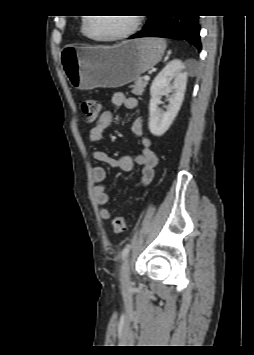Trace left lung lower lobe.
Listing matches in <instances>:
<instances>
[{"label": "left lung lower lobe", "instance_id": "obj_1", "mask_svg": "<svg viewBox=\"0 0 254 355\" xmlns=\"http://www.w3.org/2000/svg\"><path fill=\"white\" fill-rule=\"evenodd\" d=\"M141 37L183 38L201 51L200 26L197 15H149L143 30L129 39Z\"/></svg>", "mask_w": 254, "mask_h": 355}]
</instances>
